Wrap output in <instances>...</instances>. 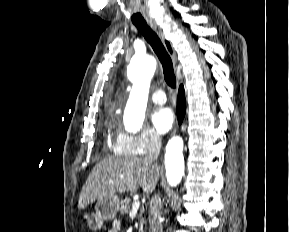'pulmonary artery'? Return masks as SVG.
I'll use <instances>...</instances> for the list:
<instances>
[{"label":"pulmonary artery","mask_w":289,"mask_h":232,"mask_svg":"<svg viewBox=\"0 0 289 232\" xmlns=\"http://www.w3.org/2000/svg\"><path fill=\"white\" fill-rule=\"evenodd\" d=\"M151 99L154 103L164 104L166 102V95L162 90H156L151 94Z\"/></svg>","instance_id":"e3ab8cb5"}]
</instances>
